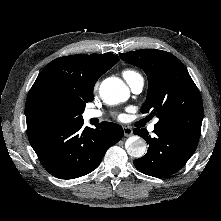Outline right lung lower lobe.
Listing matches in <instances>:
<instances>
[{
  "mask_svg": "<svg viewBox=\"0 0 221 221\" xmlns=\"http://www.w3.org/2000/svg\"><path fill=\"white\" fill-rule=\"evenodd\" d=\"M44 168L60 179L86 175L98 167L107 149L123 137V128L102 122L95 129L83 120L68 125L43 126L28 134Z\"/></svg>",
  "mask_w": 221,
  "mask_h": 221,
  "instance_id": "right-lung-lower-lobe-1",
  "label": "right lung lower lobe"
}]
</instances>
